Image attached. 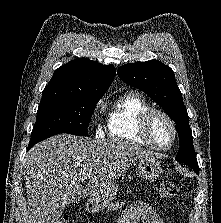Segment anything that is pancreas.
Returning <instances> with one entry per match:
<instances>
[{
	"label": "pancreas",
	"mask_w": 221,
	"mask_h": 223,
	"mask_svg": "<svg viewBox=\"0 0 221 223\" xmlns=\"http://www.w3.org/2000/svg\"><path fill=\"white\" fill-rule=\"evenodd\" d=\"M124 205V203L122 202V203H116V204H109L108 205V210L109 211H113V210H116V209H119V208H121L122 206Z\"/></svg>",
	"instance_id": "pancreas-1"
}]
</instances>
